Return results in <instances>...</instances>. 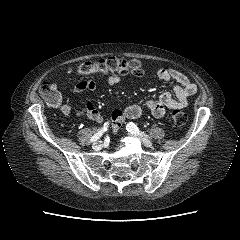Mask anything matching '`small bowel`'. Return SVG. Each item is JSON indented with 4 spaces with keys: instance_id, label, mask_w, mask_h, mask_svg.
Masks as SVG:
<instances>
[{
    "instance_id": "c3829d8e",
    "label": "small bowel",
    "mask_w": 240,
    "mask_h": 240,
    "mask_svg": "<svg viewBox=\"0 0 240 240\" xmlns=\"http://www.w3.org/2000/svg\"><path fill=\"white\" fill-rule=\"evenodd\" d=\"M157 77L164 82H173V93L164 92L156 99H149L143 105L132 104L124 109H116L112 112V129L117 133L121 125L126 119L139 118L144 109H148L156 118H161L165 115L167 109H180L188 104L189 98L195 94L196 85L192 83L187 76L175 69H159L156 73ZM122 82V78L116 75H110L107 78V83L110 86L118 85ZM54 89L58 88L56 82L51 83ZM96 83L93 80H81L70 91L73 94L84 91H95ZM61 103L60 111L64 117H69L72 113V107L68 103H62V96L57 91ZM78 116H85L97 124L101 125L104 122L102 114L92 102L85 103L76 111Z\"/></svg>"
}]
</instances>
